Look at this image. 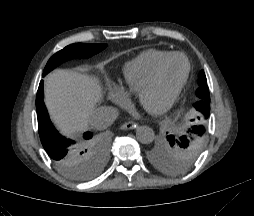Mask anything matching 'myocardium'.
<instances>
[{
    "label": "myocardium",
    "instance_id": "f54148a6",
    "mask_svg": "<svg viewBox=\"0 0 254 216\" xmlns=\"http://www.w3.org/2000/svg\"><path fill=\"white\" fill-rule=\"evenodd\" d=\"M177 57L184 59V61L186 63L185 72H184L181 80L179 81V83L176 85V87L172 90V92L166 99V101L160 107L152 109V112L154 114H162V113L167 112L176 102V100H177L179 94L181 93L183 87L185 86V84L188 80L189 74H190L191 65H190L188 58L184 54L179 53V52L171 53L168 57H166L165 59H163L161 62H159L157 64V66L153 70L149 80L138 92V96H137L138 100L140 102H142L144 95L156 85L164 66L167 63H169L172 59L177 58Z\"/></svg>",
    "mask_w": 254,
    "mask_h": 216
}]
</instances>
